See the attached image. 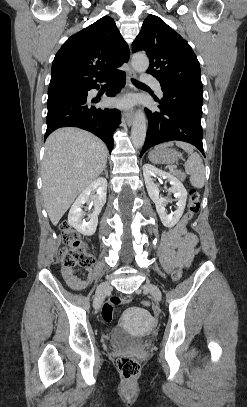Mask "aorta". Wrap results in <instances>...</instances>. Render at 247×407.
I'll list each match as a JSON object with an SVG mask.
<instances>
[{"mask_svg": "<svg viewBox=\"0 0 247 407\" xmlns=\"http://www.w3.org/2000/svg\"><path fill=\"white\" fill-rule=\"evenodd\" d=\"M131 65L136 72L142 73L148 69L149 59L144 53H135L132 56ZM145 137L146 117L142 110H138L135 113L131 129V140L134 147H142L145 141Z\"/></svg>", "mask_w": 247, "mask_h": 407, "instance_id": "obj_1", "label": "aorta"}]
</instances>
